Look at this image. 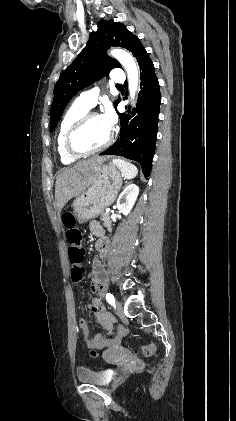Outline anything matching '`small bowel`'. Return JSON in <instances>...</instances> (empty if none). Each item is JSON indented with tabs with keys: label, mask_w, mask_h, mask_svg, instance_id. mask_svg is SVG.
<instances>
[{
	"label": "small bowel",
	"mask_w": 236,
	"mask_h": 421,
	"mask_svg": "<svg viewBox=\"0 0 236 421\" xmlns=\"http://www.w3.org/2000/svg\"><path fill=\"white\" fill-rule=\"evenodd\" d=\"M90 229H91V231L94 233V234H96V235H98L99 234V232H103V228H102V226L98 223V222H95V221H92L91 223H90ZM95 305H92V306H96V307H99L100 306V304L99 303H94ZM101 309V308H100ZM109 322V321H108ZM80 325H81V327L82 326H86V324H85V322L84 321H82L81 323H80ZM108 329H112V324H111V322H109V326H108ZM124 332H125V330L123 329V328H119L118 329V335L119 336H121V335H123L124 334ZM111 343H113V341L112 342H110V343H108V344H102V345H99V346H101V347H105V346H108L109 344H111Z\"/></svg>",
	"instance_id": "obj_1"
}]
</instances>
